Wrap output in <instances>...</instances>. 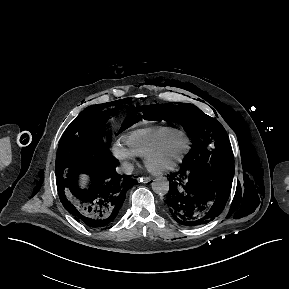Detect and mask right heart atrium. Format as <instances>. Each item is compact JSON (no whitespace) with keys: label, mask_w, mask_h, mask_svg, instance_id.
<instances>
[{"label":"right heart atrium","mask_w":289,"mask_h":289,"mask_svg":"<svg viewBox=\"0 0 289 289\" xmlns=\"http://www.w3.org/2000/svg\"><path fill=\"white\" fill-rule=\"evenodd\" d=\"M112 155L124 170H129L135 161V155L118 142L113 145Z\"/></svg>","instance_id":"obj_1"}]
</instances>
